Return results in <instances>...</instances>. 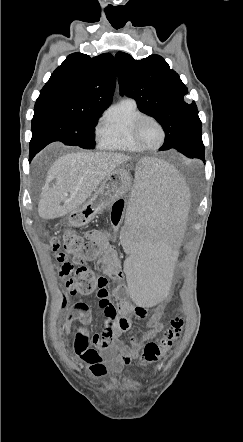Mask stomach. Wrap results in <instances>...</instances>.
Listing matches in <instances>:
<instances>
[{
  "label": "stomach",
  "instance_id": "1",
  "mask_svg": "<svg viewBox=\"0 0 243 442\" xmlns=\"http://www.w3.org/2000/svg\"><path fill=\"white\" fill-rule=\"evenodd\" d=\"M131 175L124 168L110 173L94 191L91 198L80 207L70 212L66 220L70 226L79 227L89 223L107 206L123 197L130 190Z\"/></svg>",
  "mask_w": 243,
  "mask_h": 442
}]
</instances>
